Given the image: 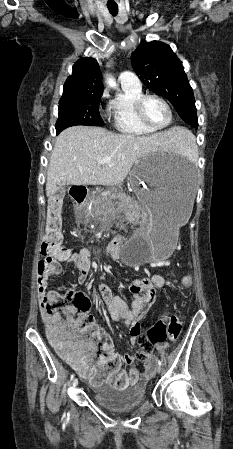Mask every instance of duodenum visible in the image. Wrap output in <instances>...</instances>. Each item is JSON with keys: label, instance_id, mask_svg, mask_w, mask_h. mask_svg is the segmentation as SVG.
Returning <instances> with one entry per match:
<instances>
[{"label": "duodenum", "instance_id": "410a0bca", "mask_svg": "<svg viewBox=\"0 0 233 449\" xmlns=\"http://www.w3.org/2000/svg\"><path fill=\"white\" fill-rule=\"evenodd\" d=\"M88 188L87 186H71L70 187V196L72 206H85L86 198H87ZM118 246V241L112 243L111 248L116 250Z\"/></svg>", "mask_w": 233, "mask_h": 449}]
</instances>
